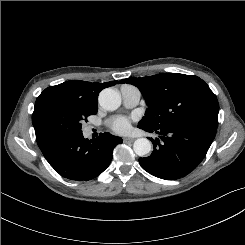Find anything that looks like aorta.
<instances>
[{
  "mask_svg": "<svg viewBox=\"0 0 245 245\" xmlns=\"http://www.w3.org/2000/svg\"><path fill=\"white\" fill-rule=\"evenodd\" d=\"M99 104L108 111H114L121 104L120 94L112 88H105L99 94ZM133 149L138 156H145L151 151V142L146 138H138L134 141Z\"/></svg>",
  "mask_w": 245,
  "mask_h": 245,
  "instance_id": "762f6f07",
  "label": "aorta"
}]
</instances>
